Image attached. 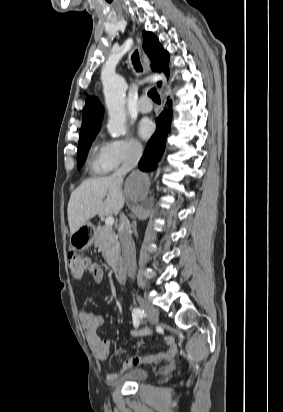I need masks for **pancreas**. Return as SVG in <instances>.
<instances>
[{
	"label": "pancreas",
	"instance_id": "obj_1",
	"mask_svg": "<svg viewBox=\"0 0 283 412\" xmlns=\"http://www.w3.org/2000/svg\"><path fill=\"white\" fill-rule=\"evenodd\" d=\"M95 246L102 250L106 262L114 266L120 254V244L116 233L111 227L98 226L94 232Z\"/></svg>",
	"mask_w": 283,
	"mask_h": 412
}]
</instances>
